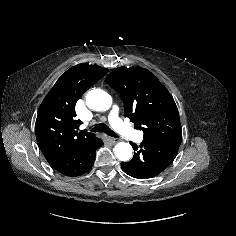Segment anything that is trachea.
<instances>
[{"label": "trachea", "instance_id": "obj_1", "mask_svg": "<svg viewBox=\"0 0 236 236\" xmlns=\"http://www.w3.org/2000/svg\"><path fill=\"white\" fill-rule=\"evenodd\" d=\"M91 131L92 132H99V133H106L107 135H109L111 137H114V138H118L119 137L105 123H99V124L95 125L94 128H92Z\"/></svg>", "mask_w": 236, "mask_h": 236}]
</instances>
